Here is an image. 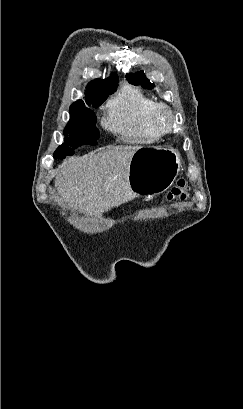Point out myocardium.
Masks as SVG:
<instances>
[{
	"label": "myocardium",
	"instance_id": "obj_1",
	"mask_svg": "<svg viewBox=\"0 0 243 409\" xmlns=\"http://www.w3.org/2000/svg\"><path fill=\"white\" fill-rule=\"evenodd\" d=\"M151 125L158 136L171 133L176 128V119L165 103H156L150 115Z\"/></svg>",
	"mask_w": 243,
	"mask_h": 409
}]
</instances>
